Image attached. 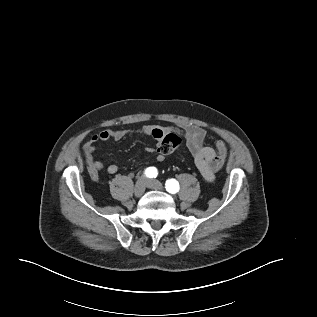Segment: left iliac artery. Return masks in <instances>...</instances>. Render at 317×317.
Listing matches in <instances>:
<instances>
[{
    "label": "left iliac artery",
    "mask_w": 317,
    "mask_h": 317,
    "mask_svg": "<svg viewBox=\"0 0 317 317\" xmlns=\"http://www.w3.org/2000/svg\"><path fill=\"white\" fill-rule=\"evenodd\" d=\"M165 188L167 189L168 192L170 193H176L179 191V183L175 179H169L165 183Z\"/></svg>",
    "instance_id": "1"
}]
</instances>
